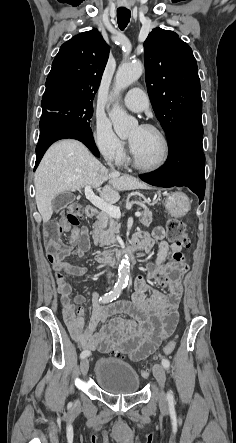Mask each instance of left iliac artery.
Wrapping results in <instances>:
<instances>
[{
  "label": "left iliac artery",
  "mask_w": 236,
  "mask_h": 443,
  "mask_svg": "<svg viewBox=\"0 0 236 443\" xmlns=\"http://www.w3.org/2000/svg\"><path fill=\"white\" fill-rule=\"evenodd\" d=\"M162 365L166 370H168L170 368L169 360L166 358L162 359ZM167 400L169 403H173L174 401V396L171 390L167 393Z\"/></svg>",
  "instance_id": "1"
}]
</instances>
